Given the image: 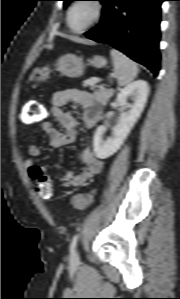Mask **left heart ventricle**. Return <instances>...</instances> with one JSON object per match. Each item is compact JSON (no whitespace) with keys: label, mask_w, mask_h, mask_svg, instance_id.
Masks as SVG:
<instances>
[{"label":"left heart ventricle","mask_w":180,"mask_h":299,"mask_svg":"<svg viewBox=\"0 0 180 299\" xmlns=\"http://www.w3.org/2000/svg\"><path fill=\"white\" fill-rule=\"evenodd\" d=\"M93 14V7L89 3H81L72 10L70 24L73 28H81L92 19Z\"/></svg>","instance_id":"1"}]
</instances>
